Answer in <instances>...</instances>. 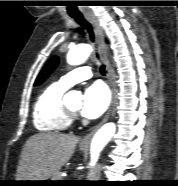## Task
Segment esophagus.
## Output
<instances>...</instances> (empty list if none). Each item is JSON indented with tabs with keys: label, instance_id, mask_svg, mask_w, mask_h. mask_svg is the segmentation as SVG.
I'll list each match as a JSON object with an SVG mask.
<instances>
[{
	"label": "esophagus",
	"instance_id": "esophagus-1",
	"mask_svg": "<svg viewBox=\"0 0 178 186\" xmlns=\"http://www.w3.org/2000/svg\"><path fill=\"white\" fill-rule=\"evenodd\" d=\"M86 19L93 26L94 33H95V36H96L97 46H98V54H99V57H100L101 61L105 64L106 75H107V78H108V81H109V86H110L111 92H112V102H111V105H110L105 117L86 136H84L81 139V141H80L81 144H88L90 142L91 138L97 132V130L108 120V118L111 114L113 98H114V89H113V85H112L111 70H110L108 58H107V55H106V52H105L106 46H105V41H104L103 29H102L98 19L95 16L87 15Z\"/></svg>",
	"mask_w": 178,
	"mask_h": 186
}]
</instances>
